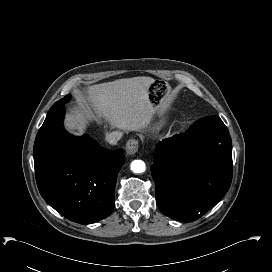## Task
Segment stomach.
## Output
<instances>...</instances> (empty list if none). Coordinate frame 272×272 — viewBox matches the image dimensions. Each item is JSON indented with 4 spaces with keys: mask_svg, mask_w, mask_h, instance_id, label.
<instances>
[{
    "mask_svg": "<svg viewBox=\"0 0 272 272\" xmlns=\"http://www.w3.org/2000/svg\"><path fill=\"white\" fill-rule=\"evenodd\" d=\"M171 89L164 81L153 80L148 87V99L153 109L161 113L167 107L170 100Z\"/></svg>",
    "mask_w": 272,
    "mask_h": 272,
    "instance_id": "0dacf381",
    "label": "stomach"
}]
</instances>
